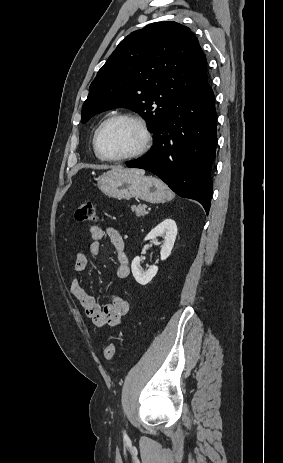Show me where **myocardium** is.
<instances>
[{
  "label": "myocardium",
  "mask_w": 283,
  "mask_h": 463,
  "mask_svg": "<svg viewBox=\"0 0 283 463\" xmlns=\"http://www.w3.org/2000/svg\"><path fill=\"white\" fill-rule=\"evenodd\" d=\"M117 120H129L134 122L140 129L142 134V142L139 148L131 154L119 157H108L102 154L100 147H99V138L104 130V128L109 125L110 123L117 121ZM152 145V134L150 128L140 115L126 112V113H118L115 115L110 116L106 120H104L99 127L96 129L94 137H93V147L96 155L103 161L107 162H126L136 158L143 156L151 147Z\"/></svg>",
  "instance_id": "obj_1"
}]
</instances>
